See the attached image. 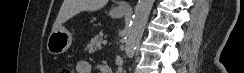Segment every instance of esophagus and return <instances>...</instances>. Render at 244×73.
Instances as JSON below:
<instances>
[{
    "instance_id": "obj_1",
    "label": "esophagus",
    "mask_w": 244,
    "mask_h": 73,
    "mask_svg": "<svg viewBox=\"0 0 244 73\" xmlns=\"http://www.w3.org/2000/svg\"><path fill=\"white\" fill-rule=\"evenodd\" d=\"M118 8L122 9V10H128L130 8V3L129 2H122L118 6Z\"/></svg>"
}]
</instances>
